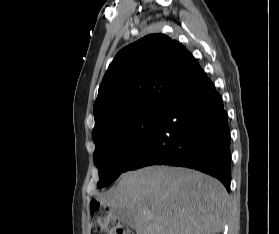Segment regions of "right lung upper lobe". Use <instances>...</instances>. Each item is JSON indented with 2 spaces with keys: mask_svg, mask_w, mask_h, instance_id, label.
Listing matches in <instances>:
<instances>
[{
  "mask_svg": "<svg viewBox=\"0 0 279 234\" xmlns=\"http://www.w3.org/2000/svg\"><path fill=\"white\" fill-rule=\"evenodd\" d=\"M202 71L192 54L164 34H151L120 50L94 103V138L110 120L146 107H166Z\"/></svg>",
  "mask_w": 279,
  "mask_h": 234,
  "instance_id": "right-lung-upper-lobe-1",
  "label": "right lung upper lobe"
}]
</instances>
